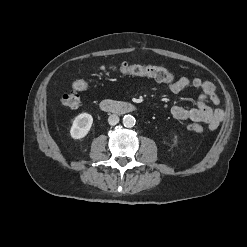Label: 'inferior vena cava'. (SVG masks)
I'll return each instance as SVG.
<instances>
[{
  "mask_svg": "<svg viewBox=\"0 0 247 247\" xmlns=\"http://www.w3.org/2000/svg\"><path fill=\"white\" fill-rule=\"evenodd\" d=\"M108 123L110 124V125H116L117 123H119V117H118V115H116V114H112V115H110L109 116V118H108Z\"/></svg>",
  "mask_w": 247,
  "mask_h": 247,
  "instance_id": "1",
  "label": "inferior vena cava"
}]
</instances>
